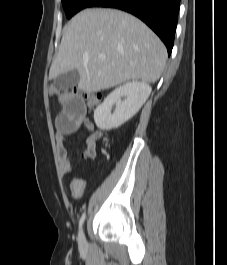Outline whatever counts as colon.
Segmentation results:
<instances>
[{"label": "colon", "instance_id": "1", "mask_svg": "<svg viewBox=\"0 0 227 265\" xmlns=\"http://www.w3.org/2000/svg\"><path fill=\"white\" fill-rule=\"evenodd\" d=\"M75 91H77V90H75ZM49 94L51 96H62V88H58V87L52 85L49 87ZM81 96L85 97L86 105L89 108H93L94 106H96L100 100V96H98L96 94H92V93H87V92L81 91Z\"/></svg>", "mask_w": 227, "mask_h": 265}]
</instances>
